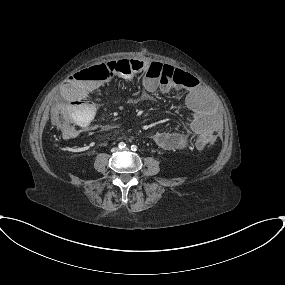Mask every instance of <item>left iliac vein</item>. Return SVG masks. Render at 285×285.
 <instances>
[{
  "label": "left iliac vein",
  "instance_id": "4c4485c4",
  "mask_svg": "<svg viewBox=\"0 0 285 285\" xmlns=\"http://www.w3.org/2000/svg\"><path fill=\"white\" fill-rule=\"evenodd\" d=\"M128 150H129L128 148L123 149V151H128Z\"/></svg>",
  "mask_w": 285,
  "mask_h": 285
}]
</instances>
